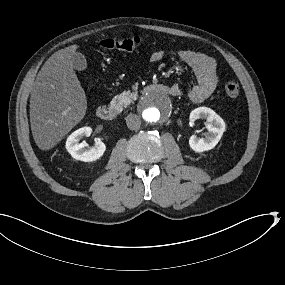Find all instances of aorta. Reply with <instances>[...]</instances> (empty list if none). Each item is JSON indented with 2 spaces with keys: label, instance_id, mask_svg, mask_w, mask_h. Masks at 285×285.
Listing matches in <instances>:
<instances>
[{
  "label": "aorta",
  "instance_id": "obj_1",
  "mask_svg": "<svg viewBox=\"0 0 285 285\" xmlns=\"http://www.w3.org/2000/svg\"><path fill=\"white\" fill-rule=\"evenodd\" d=\"M140 111L142 116L147 121L159 123L164 121L169 116L171 104L169 99L164 94L152 92L147 94L142 99Z\"/></svg>",
  "mask_w": 285,
  "mask_h": 285
}]
</instances>
